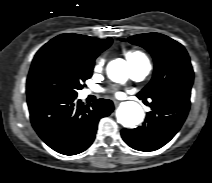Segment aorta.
<instances>
[{
  "mask_svg": "<svg viewBox=\"0 0 212 183\" xmlns=\"http://www.w3.org/2000/svg\"><path fill=\"white\" fill-rule=\"evenodd\" d=\"M128 72V65L122 59L112 60L107 65L108 77L112 80L123 79ZM117 120L124 127H134L144 119L141 106L134 101L123 102L117 110Z\"/></svg>",
  "mask_w": 212,
  "mask_h": 183,
  "instance_id": "762f6f07",
  "label": "aorta"
}]
</instances>
